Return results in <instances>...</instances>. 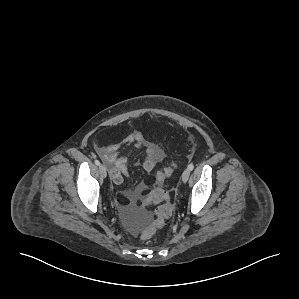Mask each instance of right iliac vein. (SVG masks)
Masks as SVG:
<instances>
[{"label": "right iliac vein", "instance_id": "right-iliac-vein-1", "mask_svg": "<svg viewBox=\"0 0 299 299\" xmlns=\"http://www.w3.org/2000/svg\"><path fill=\"white\" fill-rule=\"evenodd\" d=\"M99 170H100L101 175L103 177H106V175H107V169H106V167L104 165H100L99 166Z\"/></svg>", "mask_w": 299, "mask_h": 299}]
</instances>
